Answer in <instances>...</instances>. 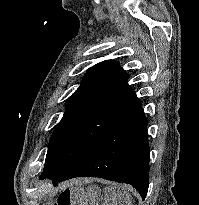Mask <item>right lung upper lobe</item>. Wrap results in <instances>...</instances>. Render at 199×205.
<instances>
[{
	"mask_svg": "<svg viewBox=\"0 0 199 205\" xmlns=\"http://www.w3.org/2000/svg\"><path fill=\"white\" fill-rule=\"evenodd\" d=\"M128 78L119 62L114 60L94 65L68 99L66 111L92 110L122 120L131 118L142 109V105L128 86Z\"/></svg>",
	"mask_w": 199,
	"mask_h": 205,
	"instance_id": "1",
	"label": "right lung upper lobe"
}]
</instances>
